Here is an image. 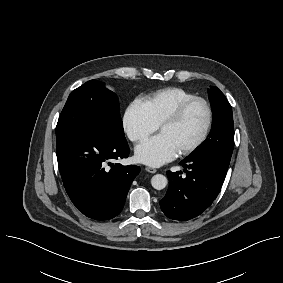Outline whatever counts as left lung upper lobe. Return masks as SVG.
<instances>
[{"label": "left lung upper lobe", "instance_id": "5c2ea615", "mask_svg": "<svg viewBox=\"0 0 283 283\" xmlns=\"http://www.w3.org/2000/svg\"><path fill=\"white\" fill-rule=\"evenodd\" d=\"M208 94L213 110L212 129L209 137L189 156H213L230 163L234 147L232 107L219 88L211 87Z\"/></svg>", "mask_w": 283, "mask_h": 283}]
</instances>
